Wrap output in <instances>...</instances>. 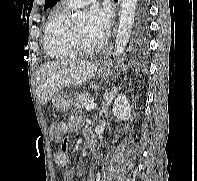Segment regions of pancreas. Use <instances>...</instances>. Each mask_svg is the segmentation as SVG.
<instances>
[{"instance_id":"1","label":"pancreas","mask_w":197,"mask_h":181,"mask_svg":"<svg viewBox=\"0 0 197 181\" xmlns=\"http://www.w3.org/2000/svg\"><path fill=\"white\" fill-rule=\"evenodd\" d=\"M92 102L93 97H90L88 93H84L74 99V107L76 110L83 109Z\"/></svg>"}]
</instances>
